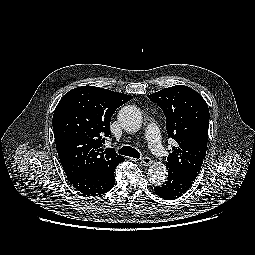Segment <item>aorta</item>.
Listing matches in <instances>:
<instances>
[{
  "instance_id": "762f6f07",
  "label": "aorta",
  "mask_w": 255,
  "mask_h": 255,
  "mask_svg": "<svg viewBox=\"0 0 255 255\" xmlns=\"http://www.w3.org/2000/svg\"><path fill=\"white\" fill-rule=\"evenodd\" d=\"M142 120L141 111L134 105L124 106L118 113L119 124L127 132L138 131L141 128ZM147 176L153 185L163 184L167 178L166 166L160 162L152 164Z\"/></svg>"
}]
</instances>
